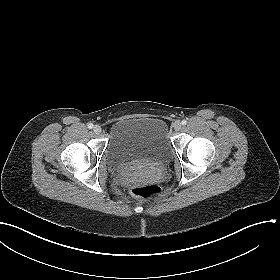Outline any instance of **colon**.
<instances>
[{
	"mask_svg": "<svg viewBox=\"0 0 280 280\" xmlns=\"http://www.w3.org/2000/svg\"><path fill=\"white\" fill-rule=\"evenodd\" d=\"M131 191L134 195L144 199H151L160 194V189L154 184L136 183L132 186Z\"/></svg>",
	"mask_w": 280,
	"mask_h": 280,
	"instance_id": "5ec220e1",
	"label": "colon"
}]
</instances>
